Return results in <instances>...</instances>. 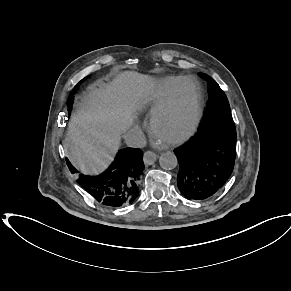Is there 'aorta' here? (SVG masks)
Returning <instances> with one entry per match:
<instances>
[{
	"instance_id": "aorta-1",
	"label": "aorta",
	"mask_w": 291,
	"mask_h": 291,
	"mask_svg": "<svg viewBox=\"0 0 291 291\" xmlns=\"http://www.w3.org/2000/svg\"><path fill=\"white\" fill-rule=\"evenodd\" d=\"M159 163L163 169L170 170V169H174L177 166L178 160H177L176 155L173 152H165L161 154L159 158Z\"/></svg>"
}]
</instances>
